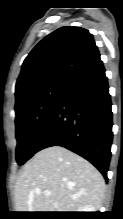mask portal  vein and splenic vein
<instances>
[{"instance_id":"obj_1","label":"portal vein and splenic vein","mask_w":123,"mask_h":219,"mask_svg":"<svg viewBox=\"0 0 123 219\" xmlns=\"http://www.w3.org/2000/svg\"><path fill=\"white\" fill-rule=\"evenodd\" d=\"M44 194H45L46 196H50V195H51V192L47 190V191L44 192Z\"/></svg>"}]
</instances>
